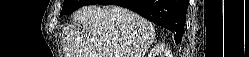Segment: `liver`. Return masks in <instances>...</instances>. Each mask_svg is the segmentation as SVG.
Instances as JSON below:
<instances>
[{
  "instance_id": "obj_1",
  "label": "liver",
  "mask_w": 249,
  "mask_h": 57,
  "mask_svg": "<svg viewBox=\"0 0 249 57\" xmlns=\"http://www.w3.org/2000/svg\"><path fill=\"white\" fill-rule=\"evenodd\" d=\"M72 19L83 28L63 30L66 57H144L156 36L149 21L116 5H87Z\"/></svg>"
}]
</instances>
